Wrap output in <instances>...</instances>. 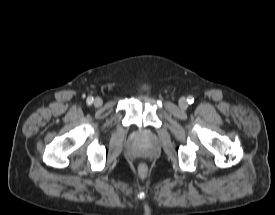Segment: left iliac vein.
<instances>
[{
  "label": "left iliac vein",
  "instance_id": "obj_1",
  "mask_svg": "<svg viewBox=\"0 0 275 215\" xmlns=\"http://www.w3.org/2000/svg\"><path fill=\"white\" fill-rule=\"evenodd\" d=\"M179 106L182 108V109H186L188 107V102L185 98H181L179 100Z\"/></svg>",
  "mask_w": 275,
  "mask_h": 215
}]
</instances>
